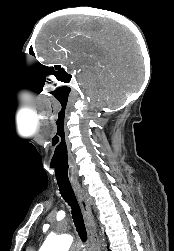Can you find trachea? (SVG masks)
Returning <instances> with one entry per match:
<instances>
[{"label": "trachea", "mask_w": 174, "mask_h": 251, "mask_svg": "<svg viewBox=\"0 0 174 251\" xmlns=\"http://www.w3.org/2000/svg\"><path fill=\"white\" fill-rule=\"evenodd\" d=\"M58 186L61 196L71 207L72 218L79 237L81 238L82 242L85 243L87 241V233L83 222V216L71 184L58 182Z\"/></svg>", "instance_id": "3493384b"}]
</instances>
